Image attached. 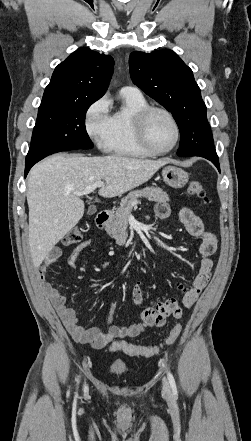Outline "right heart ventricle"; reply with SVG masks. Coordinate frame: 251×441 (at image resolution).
Here are the masks:
<instances>
[{
    "label": "right heart ventricle",
    "mask_w": 251,
    "mask_h": 441,
    "mask_svg": "<svg viewBox=\"0 0 251 441\" xmlns=\"http://www.w3.org/2000/svg\"><path fill=\"white\" fill-rule=\"evenodd\" d=\"M122 105L110 116L105 149L113 154L128 157H149L135 133V117L149 104L140 92L121 91Z\"/></svg>",
    "instance_id": "1"
}]
</instances>
